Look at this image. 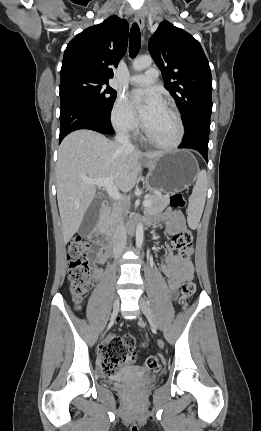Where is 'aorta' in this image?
<instances>
[{"instance_id":"obj_1","label":"aorta","mask_w":261,"mask_h":431,"mask_svg":"<svg viewBox=\"0 0 261 431\" xmlns=\"http://www.w3.org/2000/svg\"><path fill=\"white\" fill-rule=\"evenodd\" d=\"M151 64H152V58L150 56H143V57L136 58L133 61L132 66L134 70L142 71L150 67ZM143 236H144L143 226L142 224L139 223L136 227V246L138 249L142 247Z\"/></svg>"}]
</instances>
